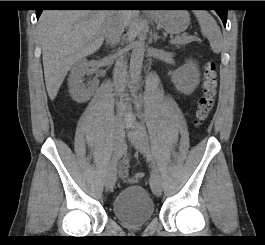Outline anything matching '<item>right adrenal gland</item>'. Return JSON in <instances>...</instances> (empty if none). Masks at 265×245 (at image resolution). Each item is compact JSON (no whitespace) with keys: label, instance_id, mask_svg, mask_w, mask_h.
I'll return each instance as SVG.
<instances>
[{"label":"right adrenal gland","instance_id":"1","mask_svg":"<svg viewBox=\"0 0 265 245\" xmlns=\"http://www.w3.org/2000/svg\"><path fill=\"white\" fill-rule=\"evenodd\" d=\"M106 45H107V46H109V45H110V46H112V45H111V44H109L108 42H106Z\"/></svg>","mask_w":265,"mask_h":245}]
</instances>
